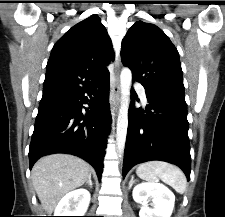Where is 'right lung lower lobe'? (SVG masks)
<instances>
[{
    "instance_id": "right-lung-lower-lobe-1",
    "label": "right lung lower lobe",
    "mask_w": 225,
    "mask_h": 217,
    "mask_svg": "<svg viewBox=\"0 0 225 217\" xmlns=\"http://www.w3.org/2000/svg\"><path fill=\"white\" fill-rule=\"evenodd\" d=\"M85 93L94 95L92 102ZM82 104L89 105L84 113ZM110 122L109 78L87 90L42 98L30 143V169L44 155L68 153L88 161L100 180Z\"/></svg>"
}]
</instances>
